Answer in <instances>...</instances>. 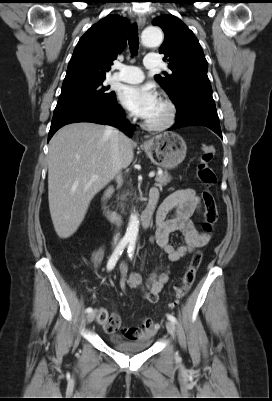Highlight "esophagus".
<instances>
[{"label":"esophagus","mask_w":272,"mask_h":401,"mask_svg":"<svg viewBox=\"0 0 272 401\" xmlns=\"http://www.w3.org/2000/svg\"><path fill=\"white\" fill-rule=\"evenodd\" d=\"M146 22V17L144 14H139L137 16V24L140 28H142L145 25Z\"/></svg>","instance_id":"esophagus-1"}]
</instances>
